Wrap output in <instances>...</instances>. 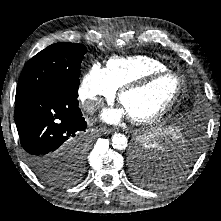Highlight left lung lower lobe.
Listing matches in <instances>:
<instances>
[{
	"instance_id": "1",
	"label": "left lung lower lobe",
	"mask_w": 221,
	"mask_h": 221,
	"mask_svg": "<svg viewBox=\"0 0 221 221\" xmlns=\"http://www.w3.org/2000/svg\"><path fill=\"white\" fill-rule=\"evenodd\" d=\"M178 118L182 117L178 116ZM169 125L163 139L150 153L141 152L138 148L134 149L132 153L134 167L138 159L146 161L149 156L153 157V164L157 166L154 168H157L158 171H155L156 175L151 180L153 185L150 187L168 184L190 168L198 152L204 117L201 115L187 122L177 119ZM173 162L177 167L172 169Z\"/></svg>"
}]
</instances>
